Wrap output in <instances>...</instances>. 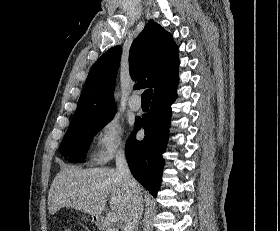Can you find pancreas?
Returning a JSON list of instances; mask_svg holds the SVG:
<instances>
[{"label":"pancreas","instance_id":"cf45deb5","mask_svg":"<svg viewBox=\"0 0 280 231\" xmlns=\"http://www.w3.org/2000/svg\"><path fill=\"white\" fill-rule=\"evenodd\" d=\"M105 231H117L118 227H114L113 223H103Z\"/></svg>","mask_w":280,"mask_h":231}]
</instances>
